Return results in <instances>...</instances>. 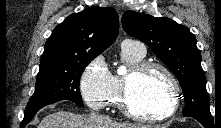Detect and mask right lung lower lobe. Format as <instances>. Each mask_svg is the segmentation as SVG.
Listing matches in <instances>:
<instances>
[{"label": "right lung lower lobe", "instance_id": "1", "mask_svg": "<svg viewBox=\"0 0 221 128\" xmlns=\"http://www.w3.org/2000/svg\"><path fill=\"white\" fill-rule=\"evenodd\" d=\"M44 106H40L38 108L32 109L28 112H25L24 119L21 123V128H24L26 124L34 117L38 110H40Z\"/></svg>", "mask_w": 221, "mask_h": 128}]
</instances>
